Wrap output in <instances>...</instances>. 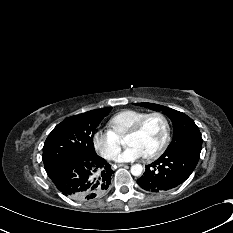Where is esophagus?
<instances>
[{
	"mask_svg": "<svg viewBox=\"0 0 233 233\" xmlns=\"http://www.w3.org/2000/svg\"><path fill=\"white\" fill-rule=\"evenodd\" d=\"M118 165V167H123V166H125V164H117Z\"/></svg>",
	"mask_w": 233,
	"mask_h": 233,
	"instance_id": "1",
	"label": "esophagus"
}]
</instances>
